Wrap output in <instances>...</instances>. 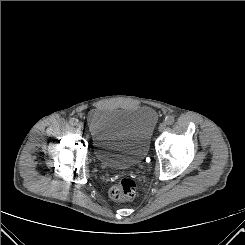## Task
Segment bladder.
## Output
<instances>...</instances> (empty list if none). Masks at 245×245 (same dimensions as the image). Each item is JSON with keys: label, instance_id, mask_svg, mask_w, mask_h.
Segmentation results:
<instances>
[{"label": "bladder", "instance_id": "obj_1", "mask_svg": "<svg viewBox=\"0 0 245 245\" xmlns=\"http://www.w3.org/2000/svg\"><path fill=\"white\" fill-rule=\"evenodd\" d=\"M157 121L156 111L146 105L93 108L86 124L97 160L116 170L138 165L148 153Z\"/></svg>", "mask_w": 245, "mask_h": 245}]
</instances>
